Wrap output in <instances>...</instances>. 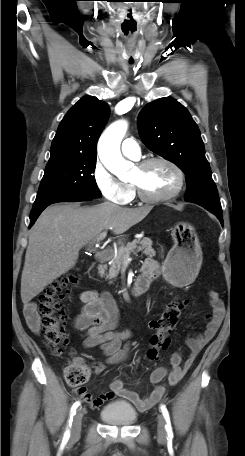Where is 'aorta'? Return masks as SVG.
<instances>
[{"label":"aorta","instance_id":"1","mask_svg":"<svg viewBox=\"0 0 245 456\" xmlns=\"http://www.w3.org/2000/svg\"><path fill=\"white\" fill-rule=\"evenodd\" d=\"M124 120L112 123L101 135L98 142V155L103 165L118 178H124L132 163L123 158L120 151L121 141L127 131Z\"/></svg>","mask_w":245,"mask_h":456}]
</instances>
